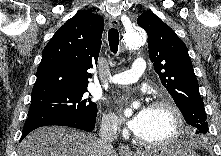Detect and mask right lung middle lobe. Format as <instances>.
Listing matches in <instances>:
<instances>
[{
	"label": "right lung middle lobe",
	"mask_w": 221,
	"mask_h": 156,
	"mask_svg": "<svg viewBox=\"0 0 221 156\" xmlns=\"http://www.w3.org/2000/svg\"><path fill=\"white\" fill-rule=\"evenodd\" d=\"M87 89L65 91L31 100L28 116L96 117L97 104L87 97Z\"/></svg>",
	"instance_id": "obj_1"
}]
</instances>
